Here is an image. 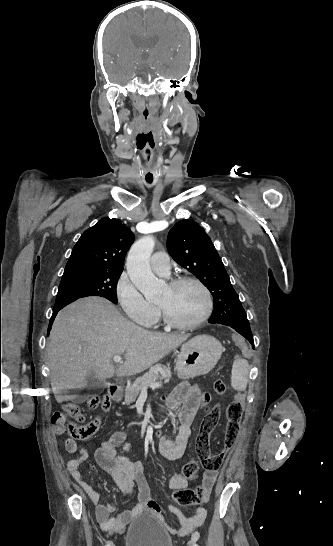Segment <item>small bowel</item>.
Wrapping results in <instances>:
<instances>
[{"instance_id": "1", "label": "small bowel", "mask_w": 333, "mask_h": 546, "mask_svg": "<svg viewBox=\"0 0 333 546\" xmlns=\"http://www.w3.org/2000/svg\"><path fill=\"white\" fill-rule=\"evenodd\" d=\"M234 346L240 349L244 360H249L251 349L245 345L241 332L233 333ZM217 371L215 368L212 370ZM163 402L169 409H175L182 405L179 413L180 427L175 440L165 436H160L158 446L161 454L169 460L179 459L185 452L188 440L192 432V423L201 403V389L197 384L182 383L171 393L163 397ZM83 420V415L76 417ZM126 434L122 431L113 434L105 439L101 446L94 452V460L110 476L116 487L125 495H131L134 489H137V502L133 508L124 511L116 517H111L115 510L114 506L104 504L101 501L100 490L93 489L82 478L80 467L90 460L88 452L81 448L78 443L70 438L64 441L65 450L70 454H77L76 458L66 460V466L73 479L86 491L90 500L95 506L97 521L102 530L107 534L120 533L125 526L135 517L145 512L154 514L158 520L173 534L185 536L189 533L197 535L194 532L201 526L206 519V510L203 507H197L191 516H185L174 506H168L164 511L160 505L151 498L150 488L143 474L142 466L134 463L127 455H120L118 449L129 454L130 445L125 442ZM198 474L188 478L196 479ZM217 477L216 472L206 471L203 473L202 486L208 494L211 492ZM169 486L173 489L185 488L187 478L179 473H173L169 478ZM101 489V487H100ZM165 512L175 515L180 523L178 528L171 527L166 520Z\"/></svg>"}]
</instances>
